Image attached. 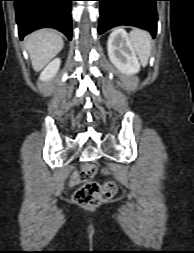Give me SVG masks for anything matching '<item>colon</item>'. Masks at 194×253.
I'll return each mask as SVG.
<instances>
[{"instance_id":"1","label":"colon","mask_w":194,"mask_h":253,"mask_svg":"<svg viewBox=\"0 0 194 253\" xmlns=\"http://www.w3.org/2000/svg\"><path fill=\"white\" fill-rule=\"evenodd\" d=\"M96 168L91 164L83 166L80 179L85 183L74 193V201L82 207H94L110 199L116 192V185L112 181L103 184L92 182Z\"/></svg>"}]
</instances>
